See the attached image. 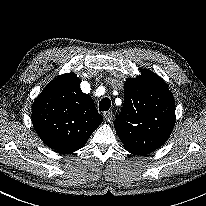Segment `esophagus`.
<instances>
[{
    "label": "esophagus",
    "instance_id": "obj_1",
    "mask_svg": "<svg viewBox=\"0 0 206 206\" xmlns=\"http://www.w3.org/2000/svg\"><path fill=\"white\" fill-rule=\"evenodd\" d=\"M103 117H104V120L106 122H110L112 120V117H113V113L112 112H105L103 114Z\"/></svg>",
    "mask_w": 206,
    "mask_h": 206
}]
</instances>
